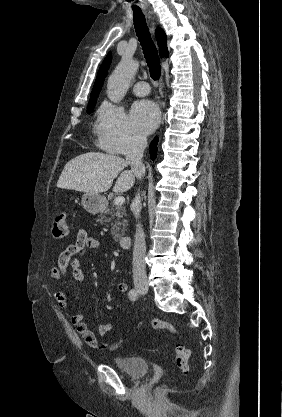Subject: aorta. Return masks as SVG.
<instances>
[{"label": "aorta", "mask_w": 282, "mask_h": 417, "mask_svg": "<svg viewBox=\"0 0 282 417\" xmlns=\"http://www.w3.org/2000/svg\"><path fill=\"white\" fill-rule=\"evenodd\" d=\"M139 66L138 60L134 58H121L115 70L110 74L107 82V96L112 102H120L124 98L129 82L137 72Z\"/></svg>", "instance_id": "1"}]
</instances>
